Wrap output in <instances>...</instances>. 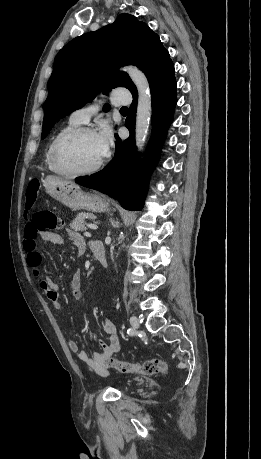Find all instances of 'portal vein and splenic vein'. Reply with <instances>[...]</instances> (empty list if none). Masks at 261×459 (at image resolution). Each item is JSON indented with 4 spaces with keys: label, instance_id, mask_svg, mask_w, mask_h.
Here are the masks:
<instances>
[{
    "label": "portal vein and splenic vein",
    "instance_id": "obj_1",
    "mask_svg": "<svg viewBox=\"0 0 261 459\" xmlns=\"http://www.w3.org/2000/svg\"><path fill=\"white\" fill-rule=\"evenodd\" d=\"M87 226H88V228H90L92 230H96L98 228V226L96 224H88Z\"/></svg>",
    "mask_w": 261,
    "mask_h": 459
}]
</instances>
